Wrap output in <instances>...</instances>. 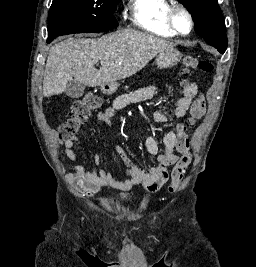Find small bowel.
<instances>
[{
    "label": "small bowel",
    "instance_id": "obj_1",
    "mask_svg": "<svg viewBox=\"0 0 256 267\" xmlns=\"http://www.w3.org/2000/svg\"><path fill=\"white\" fill-rule=\"evenodd\" d=\"M197 83L195 81H184L182 83V92L171 108V114L175 118H183L197 93ZM158 87L150 85L138 88L134 91L123 93L115 98L112 105L100 112L98 120L108 125H113L114 117L129 104L141 102L153 98L157 93ZM154 120L158 124H164L167 116L163 112H157ZM175 131L167 132L163 137V147L160 148L156 140L148 136L145 140L147 151L157 156L158 164L148 170L138 166L121 147L117 146V154L126 163L125 179L117 178L113 172L106 168H94L87 170L82 164L77 151L78 138L72 136L63 141L67 157L74 163L72 172L66 175L67 182L79 193L93 197L104 187H111L118 190H129L134 185H142L147 191L157 192L168 178V171L171 166L177 163L179 157L176 150L181 153L179 138H176ZM95 164L101 163L99 155L93 156Z\"/></svg>",
    "mask_w": 256,
    "mask_h": 267
}]
</instances>
